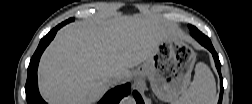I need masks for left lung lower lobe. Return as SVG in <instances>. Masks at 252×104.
Returning a JSON list of instances; mask_svg holds the SVG:
<instances>
[{"mask_svg": "<svg viewBox=\"0 0 252 104\" xmlns=\"http://www.w3.org/2000/svg\"><path fill=\"white\" fill-rule=\"evenodd\" d=\"M191 35L204 47H206L213 55V58L215 60V65L216 68L218 70L219 76H220V97H219V102L218 104H221L222 102V96H223V79H222V75H221V64L219 61V57L218 54L216 53V51L213 48V45L210 41V39L205 36L202 32H200L196 27L190 31ZM133 96L136 99V103L137 104H144L143 99L141 97V95L135 90L133 92Z\"/></svg>", "mask_w": 252, "mask_h": 104, "instance_id": "left-lung-lower-lobe-1", "label": "left lung lower lobe"}]
</instances>
